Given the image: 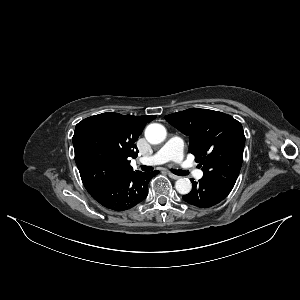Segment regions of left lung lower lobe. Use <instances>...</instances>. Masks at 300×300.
<instances>
[{
	"instance_id": "obj_1",
	"label": "left lung lower lobe",
	"mask_w": 300,
	"mask_h": 300,
	"mask_svg": "<svg viewBox=\"0 0 300 300\" xmlns=\"http://www.w3.org/2000/svg\"><path fill=\"white\" fill-rule=\"evenodd\" d=\"M192 181V190L182 198L187 203L208 208L221 202L231 192L232 188L219 182L202 178L199 182Z\"/></svg>"
}]
</instances>
